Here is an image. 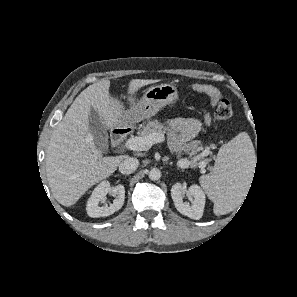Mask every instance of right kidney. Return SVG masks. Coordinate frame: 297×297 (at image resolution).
Returning <instances> with one entry per match:
<instances>
[{"instance_id": "obj_1", "label": "right kidney", "mask_w": 297, "mask_h": 297, "mask_svg": "<svg viewBox=\"0 0 297 297\" xmlns=\"http://www.w3.org/2000/svg\"><path fill=\"white\" fill-rule=\"evenodd\" d=\"M116 196L113 203L110 206H100L99 203L102 201L107 194ZM125 199V188L119 184L116 186H110L108 181H102L93 190L91 197L88 199L86 210L90 217H107L118 211L124 204Z\"/></svg>"}]
</instances>
